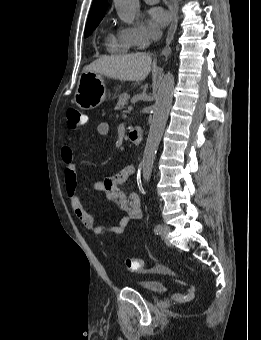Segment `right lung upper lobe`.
I'll use <instances>...</instances> for the list:
<instances>
[{"label": "right lung upper lobe", "instance_id": "1", "mask_svg": "<svg viewBox=\"0 0 261 340\" xmlns=\"http://www.w3.org/2000/svg\"><path fill=\"white\" fill-rule=\"evenodd\" d=\"M106 1L107 0H94L93 1L87 24L95 20L102 19L104 17L105 10H106Z\"/></svg>", "mask_w": 261, "mask_h": 340}]
</instances>
